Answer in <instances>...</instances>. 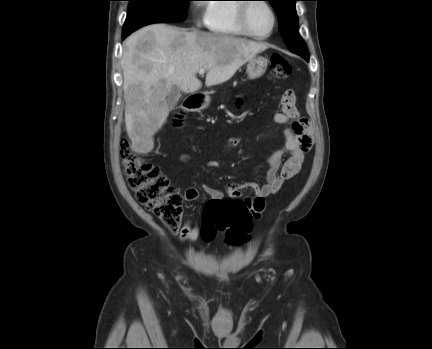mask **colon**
<instances>
[{
  "mask_svg": "<svg viewBox=\"0 0 432 349\" xmlns=\"http://www.w3.org/2000/svg\"><path fill=\"white\" fill-rule=\"evenodd\" d=\"M270 74L275 79L289 77V61L280 54L272 55ZM120 157L128 186L137 201L157 216L169 231L177 232L183 213L182 198L169 179L157 165L139 157L128 139L121 141ZM252 220V212L244 200H211L205 208L202 235L205 240H211L216 231L224 232L227 243L239 245L248 240Z\"/></svg>",
  "mask_w": 432,
  "mask_h": 349,
  "instance_id": "5ec220e1",
  "label": "colon"
}]
</instances>
